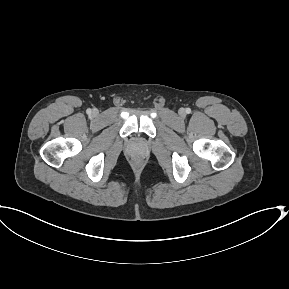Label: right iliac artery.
<instances>
[{"label": "right iliac artery", "mask_w": 289, "mask_h": 289, "mask_svg": "<svg viewBox=\"0 0 289 289\" xmlns=\"http://www.w3.org/2000/svg\"><path fill=\"white\" fill-rule=\"evenodd\" d=\"M88 114H91L92 110L91 109H87L86 111Z\"/></svg>", "instance_id": "right-iliac-artery-1"}]
</instances>
